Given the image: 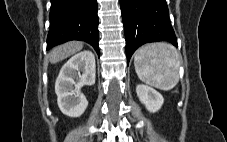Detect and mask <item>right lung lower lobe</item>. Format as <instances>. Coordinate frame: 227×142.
Returning <instances> with one entry per match:
<instances>
[{"label":"right lung lower lobe","mask_w":227,"mask_h":142,"mask_svg":"<svg viewBox=\"0 0 227 142\" xmlns=\"http://www.w3.org/2000/svg\"><path fill=\"white\" fill-rule=\"evenodd\" d=\"M97 0H51L47 49L80 40L91 44L99 53Z\"/></svg>","instance_id":"obj_1"}]
</instances>
